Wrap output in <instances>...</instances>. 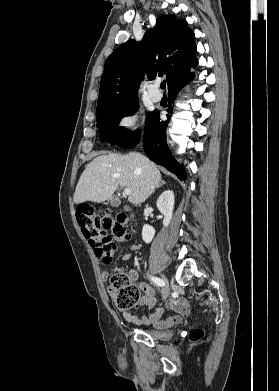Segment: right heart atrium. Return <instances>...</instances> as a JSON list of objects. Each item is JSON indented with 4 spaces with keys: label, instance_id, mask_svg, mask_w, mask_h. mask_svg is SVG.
<instances>
[{
    "label": "right heart atrium",
    "instance_id": "1",
    "mask_svg": "<svg viewBox=\"0 0 279 391\" xmlns=\"http://www.w3.org/2000/svg\"><path fill=\"white\" fill-rule=\"evenodd\" d=\"M139 123V114L136 111H129L121 115L117 120V127L123 134L134 132Z\"/></svg>",
    "mask_w": 279,
    "mask_h": 391
}]
</instances>
